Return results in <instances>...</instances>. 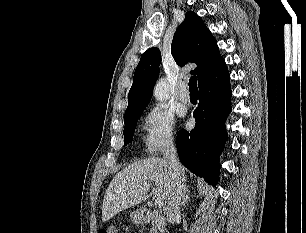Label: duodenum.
Instances as JSON below:
<instances>
[{
  "label": "duodenum",
  "mask_w": 306,
  "mask_h": 233,
  "mask_svg": "<svg viewBox=\"0 0 306 233\" xmlns=\"http://www.w3.org/2000/svg\"><path fill=\"white\" fill-rule=\"evenodd\" d=\"M140 214L144 222H148L150 220L151 215H150L149 210L141 209Z\"/></svg>",
  "instance_id": "410a0bca"
}]
</instances>
